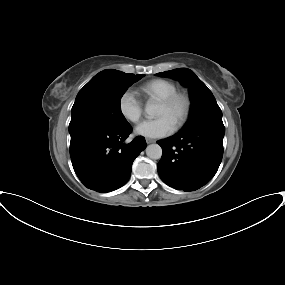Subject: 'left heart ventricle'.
Here are the masks:
<instances>
[{
    "mask_svg": "<svg viewBox=\"0 0 285 285\" xmlns=\"http://www.w3.org/2000/svg\"><path fill=\"white\" fill-rule=\"evenodd\" d=\"M183 103L181 101L175 103L171 107H165L161 104L158 105L156 116H165L167 117L174 125L181 116L183 112Z\"/></svg>",
    "mask_w": 285,
    "mask_h": 285,
    "instance_id": "b2bd125f",
    "label": "left heart ventricle"
}]
</instances>
